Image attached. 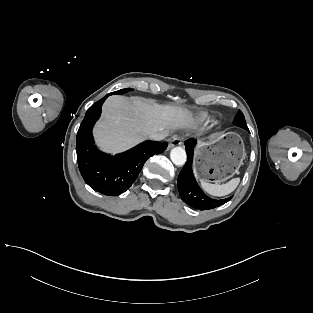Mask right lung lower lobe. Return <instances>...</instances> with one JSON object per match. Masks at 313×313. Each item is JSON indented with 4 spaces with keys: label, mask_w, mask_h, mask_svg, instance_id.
Here are the masks:
<instances>
[{
    "label": "right lung lower lobe",
    "mask_w": 313,
    "mask_h": 313,
    "mask_svg": "<svg viewBox=\"0 0 313 313\" xmlns=\"http://www.w3.org/2000/svg\"><path fill=\"white\" fill-rule=\"evenodd\" d=\"M108 96L109 94L87 110L77 133L76 152L84 181L99 193L117 196L133 184L146 160L154 154L163 153L168 144L145 141L114 156L99 151L94 145L92 128L99 119L102 104Z\"/></svg>",
    "instance_id": "98d812e1"
}]
</instances>
